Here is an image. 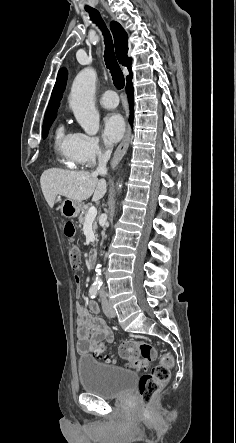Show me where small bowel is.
I'll return each instance as SVG.
<instances>
[{
  "instance_id": "obj_1",
  "label": "small bowel",
  "mask_w": 236,
  "mask_h": 443,
  "mask_svg": "<svg viewBox=\"0 0 236 443\" xmlns=\"http://www.w3.org/2000/svg\"><path fill=\"white\" fill-rule=\"evenodd\" d=\"M77 286L80 285L81 279L75 276ZM80 289L77 288L76 295L80 296ZM99 308L95 302H90L87 306L81 303L76 304L77 314V352L85 354L99 342H112L113 334L105 325L104 321L99 318Z\"/></svg>"
}]
</instances>
